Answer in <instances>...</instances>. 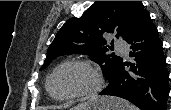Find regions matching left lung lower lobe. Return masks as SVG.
Wrapping results in <instances>:
<instances>
[{
	"label": "left lung lower lobe",
	"instance_id": "1",
	"mask_svg": "<svg viewBox=\"0 0 171 110\" xmlns=\"http://www.w3.org/2000/svg\"><path fill=\"white\" fill-rule=\"evenodd\" d=\"M158 30L150 15L139 31L128 41L134 64L121 63L100 94L129 100L141 110H167L169 73ZM125 66H130L125 70Z\"/></svg>",
	"mask_w": 171,
	"mask_h": 110
}]
</instances>
